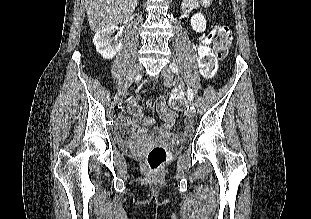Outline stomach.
Listing matches in <instances>:
<instances>
[{
  "label": "stomach",
  "mask_w": 311,
  "mask_h": 219,
  "mask_svg": "<svg viewBox=\"0 0 311 219\" xmlns=\"http://www.w3.org/2000/svg\"><path fill=\"white\" fill-rule=\"evenodd\" d=\"M204 1H206V2H208V3H209L211 0H204Z\"/></svg>",
  "instance_id": "obj_1"
}]
</instances>
